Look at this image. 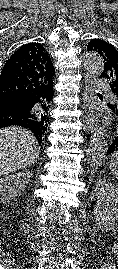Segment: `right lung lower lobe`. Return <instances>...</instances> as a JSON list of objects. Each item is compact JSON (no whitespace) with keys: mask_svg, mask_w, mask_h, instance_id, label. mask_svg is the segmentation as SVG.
<instances>
[{"mask_svg":"<svg viewBox=\"0 0 118 269\" xmlns=\"http://www.w3.org/2000/svg\"><path fill=\"white\" fill-rule=\"evenodd\" d=\"M36 111L37 101L34 96L2 94L0 95V128L20 125L32 131L35 125ZM45 140L46 133L41 140H38L39 145H42Z\"/></svg>","mask_w":118,"mask_h":269,"instance_id":"obj_1","label":"right lung lower lobe"}]
</instances>
